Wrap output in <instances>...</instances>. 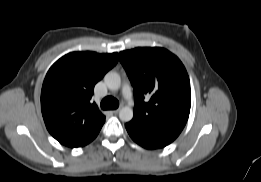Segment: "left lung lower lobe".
<instances>
[{
  "instance_id": "0a47b994",
  "label": "left lung lower lobe",
  "mask_w": 261,
  "mask_h": 182,
  "mask_svg": "<svg viewBox=\"0 0 261 182\" xmlns=\"http://www.w3.org/2000/svg\"><path fill=\"white\" fill-rule=\"evenodd\" d=\"M130 137L139 145L146 149H156V148H162L170 144L173 140L158 137L154 135H148L144 133H140L136 130H134L130 123H127L125 125Z\"/></svg>"
}]
</instances>
